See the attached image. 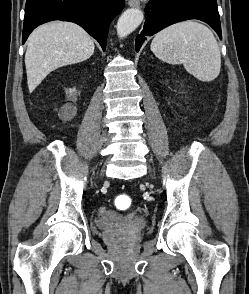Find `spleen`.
<instances>
[{
	"mask_svg": "<svg viewBox=\"0 0 249 294\" xmlns=\"http://www.w3.org/2000/svg\"><path fill=\"white\" fill-rule=\"evenodd\" d=\"M156 57L169 64H183L186 71L203 82L220 73L221 55L212 31L188 20L173 24L157 33L151 43Z\"/></svg>",
	"mask_w": 249,
	"mask_h": 294,
	"instance_id": "1",
	"label": "spleen"
}]
</instances>
